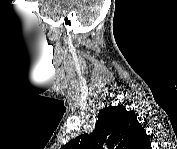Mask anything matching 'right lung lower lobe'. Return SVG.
<instances>
[{
	"instance_id": "obj_1",
	"label": "right lung lower lobe",
	"mask_w": 177,
	"mask_h": 149,
	"mask_svg": "<svg viewBox=\"0 0 177 149\" xmlns=\"http://www.w3.org/2000/svg\"><path fill=\"white\" fill-rule=\"evenodd\" d=\"M145 148H146V149H150V148H151V143H150V141L147 143V145H145Z\"/></svg>"
}]
</instances>
